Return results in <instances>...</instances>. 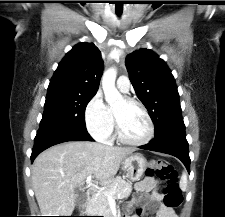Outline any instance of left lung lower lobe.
<instances>
[{
	"instance_id": "left-lung-lower-lobe-1",
	"label": "left lung lower lobe",
	"mask_w": 225,
	"mask_h": 217,
	"mask_svg": "<svg viewBox=\"0 0 225 217\" xmlns=\"http://www.w3.org/2000/svg\"><path fill=\"white\" fill-rule=\"evenodd\" d=\"M139 148L173 155L182 161L188 172L190 171L191 161L184 125L172 127L156 135L148 144Z\"/></svg>"
}]
</instances>
